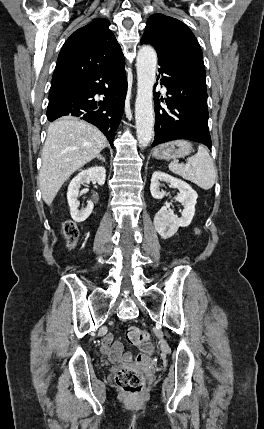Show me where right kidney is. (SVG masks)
I'll return each mask as SVG.
<instances>
[{"label": "right kidney", "mask_w": 264, "mask_h": 429, "mask_svg": "<svg viewBox=\"0 0 264 429\" xmlns=\"http://www.w3.org/2000/svg\"><path fill=\"white\" fill-rule=\"evenodd\" d=\"M106 179V170L104 167L95 166L87 170L81 171L75 176L69 186L67 192V200L70 208V214L75 222L85 221L92 213L94 204L92 201H87L85 208L78 210L79 207V188L83 184H88L90 181L95 180L99 185H103Z\"/></svg>", "instance_id": "1"}]
</instances>
